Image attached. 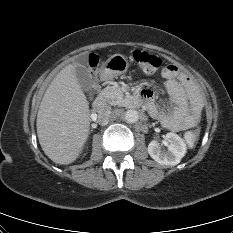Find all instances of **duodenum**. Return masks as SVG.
Wrapping results in <instances>:
<instances>
[{"instance_id": "obj_1", "label": "duodenum", "mask_w": 233, "mask_h": 233, "mask_svg": "<svg viewBox=\"0 0 233 233\" xmlns=\"http://www.w3.org/2000/svg\"><path fill=\"white\" fill-rule=\"evenodd\" d=\"M141 101H142L141 96L134 97L131 101V104L135 106L138 105ZM105 105H106V98L104 95H99L93 103L95 109H102Z\"/></svg>"}]
</instances>
